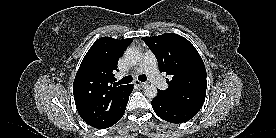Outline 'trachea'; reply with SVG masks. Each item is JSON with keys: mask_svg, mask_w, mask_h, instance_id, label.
Instances as JSON below:
<instances>
[{"mask_svg": "<svg viewBox=\"0 0 276 138\" xmlns=\"http://www.w3.org/2000/svg\"><path fill=\"white\" fill-rule=\"evenodd\" d=\"M138 79L142 82H145L147 80V77L145 75H139ZM131 81H132L131 76H125L120 81L117 82V85L128 84Z\"/></svg>", "mask_w": 276, "mask_h": 138, "instance_id": "trachea-1", "label": "trachea"}]
</instances>
